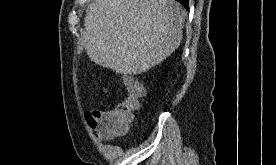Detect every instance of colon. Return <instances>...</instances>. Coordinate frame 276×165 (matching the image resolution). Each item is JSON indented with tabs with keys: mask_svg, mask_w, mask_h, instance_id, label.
I'll list each match as a JSON object with an SVG mask.
<instances>
[{
	"mask_svg": "<svg viewBox=\"0 0 276 165\" xmlns=\"http://www.w3.org/2000/svg\"><path fill=\"white\" fill-rule=\"evenodd\" d=\"M126 97L114 107L102 112H88L86 119L90 127L101 137L123 133L140 110L145 89L143 83L130 76L125 81Z\"/></svg>",
	"mask_w": 276,
	"mask_h": 165,
	"instance_id": "colon-1",
	"label": "colon"
}]
</instances>
